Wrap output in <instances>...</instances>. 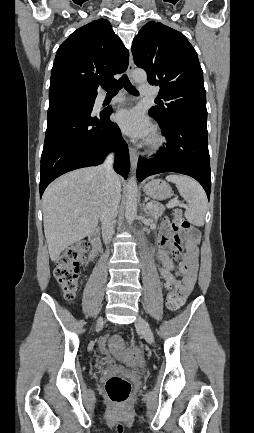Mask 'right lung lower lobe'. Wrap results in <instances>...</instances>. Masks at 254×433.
<instances>
[{"label": "right lung lower lobe", "instance_id": "98d812e1", "mask_svg": "<svg viewBox=\"0 0 254 433\" xmlns=\"http://www.w3.org/2000/svg\"><path fill=\"white\" fill-rule=\"evenodd\" d=\"M94 102L58 98L49 103L47 130L41 156L40 197L60 175L82 167L96 166L116 148L115 170L125 179L130 169L128 147L111 109L93 114Z\"/></svg>", "mask_w": 254, "mask_h": 433}]
</instances>
